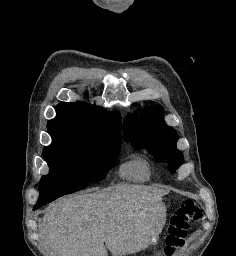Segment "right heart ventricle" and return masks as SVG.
<instances>
[{
	"instance_id": "obj_1",
	"label": "right heart ventricle",
	"mask_w": 236,
	"mask_h": 256,
	"mask_svg": "<svg viewBox=\"0 0 236 256\" xmlns=\"http://www.w3.org/2000/svg\"><path fill=\"white\" fill-rule=\"evenodd\" d=\"M120 175L130 182H147L152 177L151 165L146 158L137 156L120 167Z\"/></svg>"
}]
</instances>
